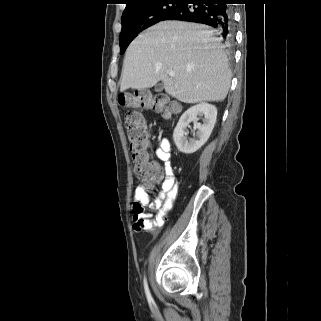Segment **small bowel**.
Wrapping results in <instances>:
<instances>
[{
	"mask_svg": "<svg viewBox=\"0 0 321 321\" xmlns=\"http://www.w3.org/2000/svg\"><path fill=\"white\" fill-rule=\"evenodd\" d=\"M156 157L164 163V167H159V175L156 181H161V191L158 196L150 202L147 187L140 184L134 191V204H133V227L136 231H149L153 235L158 234L160 228L166 221V213L172 208L173 203L178 194V186L171 165V146L166 138H162L159 147L156 149ZM139 205L142 210L135 211V206ZM145 206H149L152 210H160V212L151 218L150 214L143 211Z\"/></svg>",
	"mask_w": 321,
	"mask_h": 321,
	"instance_id": "1",
	"label": "small bowel"
}]
</instances>
